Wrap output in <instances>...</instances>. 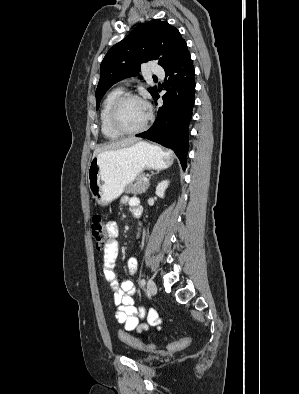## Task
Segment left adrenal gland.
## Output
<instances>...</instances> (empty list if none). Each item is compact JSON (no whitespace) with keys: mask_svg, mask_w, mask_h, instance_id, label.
<instances>
[{"mask_svg":"<svg viewBox=\"0 0 299 394\" xmlns=\"http://www.w3.org/2000/svg\"><path fill=\"white\" fill-rule=\"evenodd\" d=\"M158 173H159V170H158L156 173H152V174L149 176L148 182H147V189H148V187H149V185H150L149 181H150L151 177H152L153 175H155V174H158Z\"/></svg>","mask_w":299,"mask_h":394,"instance_id":"obj_1","label":"left adrenal gland"}]
</instances>
